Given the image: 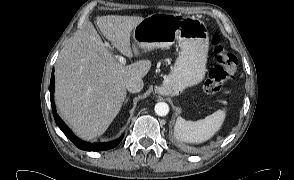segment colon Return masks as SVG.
I'll use <instances>...</instances> for the list:
<instances>
[{"label":"colon","instance_id":"colon-1","mask_svg":"<svg viewBox=\"0 0 294 180\" xmlns=\"http://www.w3.org/2000/svg\"><path fill=\"white\" fill-rule=\"evenodd\" d=\"M212 43L217 65L210 71L204 89L207 94L216 95L222 90L223 83L234 77L237 70V58L227 52L217 38H214Z\"/></svg>","mask_w":294,"mask_h":180}]
</instances>
